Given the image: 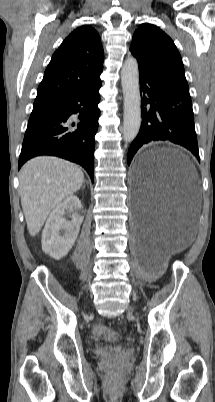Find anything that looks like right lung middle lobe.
I'll use <instances>...</instances> for the list:
<instances>
[{"label": "right lung middle lobe", "instance_id": "obj_1", "mask_svg": "<svg viewBox=\"0 0 215 402\" xmlns=\"http://www.w3.org/2000/svg\"><path fill=\"white\" fill-rule=\"evenodd\" d=\"M54 105H55V103H34L29 122L35 120L37 117L46 113Z\"/></svg>", "mask_w": 215, "mask_h": 402}]
</instances>
